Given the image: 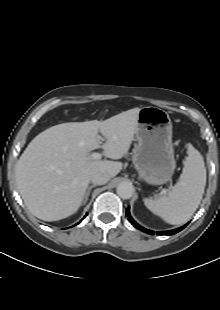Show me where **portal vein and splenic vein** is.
<instances>
[{
    "label": "portal vein and splenic vein",
    "mask_w": 220,
    "mask_h": 310,
    "mask_svg": "<svg viewBox=\"0 0 220 310\" xmlns=\"http://www.w3.org/2000/svg\"><path fill=\"white\" fill-rule=\"evenodd\" d=\"M99 139H102V138H99ZM101 157H102V154H100V153L94 152V153L91 154V158L94 159V160L101 159ZM165 193H166V192L164 191V194H165Z\"/></svg>",
    "instance_id": "18ae733b"
}]
</instances>
